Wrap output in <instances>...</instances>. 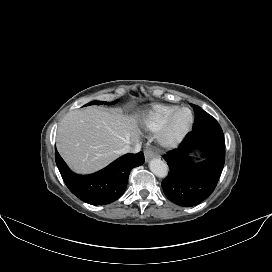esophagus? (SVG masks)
I'll use <instances>...</instances> for the list:
<instances>
[{
    "label": "esophagus",
    "instance_id": "obj_1",
    "mask_svg": "<svg viewBox=\"0 0 272 272\" xmlns=\"http://www.w3.org/2000/svg\"><path fill=\"white\" fill-rule=\"evenodd\" d=\"M144 155H145V160H146V161H148V160H150L151 158L154 157V153H153L152 150L149 149V148H146V149L144 150Z\"/></svg>",
    "mask_w": 272,
    "mask_h": 272
}]
</instances>
